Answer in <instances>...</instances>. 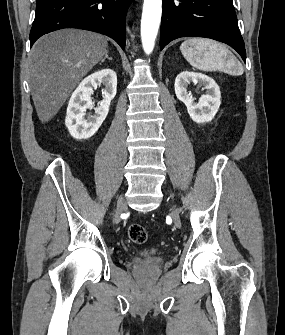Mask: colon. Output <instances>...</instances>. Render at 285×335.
Segmentation results:
<instances>
[{"label": "colon", "instance_id": "1", "mask_svg": "<svg viewBox=\"0 0 285 335\" xmlns=\"http://www.w3.org/2000/svg\"><path fill=\"white\" fill-rule=\"evenodd\" d=\"M129 239L135 244H143L147 240V231L140 224H132L128 228Z\"/></svg>", "mask_w": 285, "mask_h": 335}]
</instances>
